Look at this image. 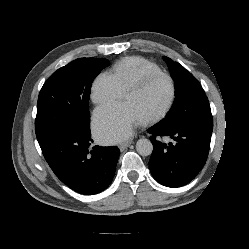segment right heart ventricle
<instances>
[{
	"mask_svg": "<svg viewBox=\"0 0 249 249\" xmlns=\"http://www.w3.org/2000/svg\"><path fill=\"white\" fill-rule=\"evenodd\" d=\"M160 68L142 57H127L120 60L111 72L124 92L131 84L145 75L159 73Z\"/></svg>",
	"mask_w": 249,
	"mask_h": 249,
	"instance_id": "right-heart-ventricle-1",
	"label": "right heart ventricle"
}]
</instances>
